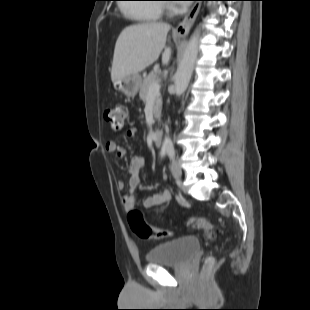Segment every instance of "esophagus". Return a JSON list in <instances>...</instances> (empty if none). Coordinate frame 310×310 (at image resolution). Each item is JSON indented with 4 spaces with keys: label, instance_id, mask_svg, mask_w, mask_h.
I'll list each match as a JSON object with an SVG mask.
<instances>
[{
    "label": "esophagus",
    "instance_id": "esophagus-1",
    "mask_svg": "<svg viewBox=\"0 0 310 310\" xmlns=\"http://www.w3.org/2000/svg\"><path fill=\"white\" fill-rule=\"evenodd\" d=\"M201 4L195 3L184 19L176 26L174 33L178 36H186L193 26L196 17L199 13Z\"/></svg>",
    "mask_w": 310,
    "mask_h": 310
}]
</instances>
